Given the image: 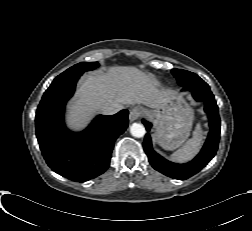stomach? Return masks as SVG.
<instances>
[{"label":"stomach","mask_w":252,"mask_h":231,"mask_svg":"<svg viewBox=\"0 0 252 231\" xmlns=\"http://www.w3.org/2000/svg\"><path fill=\"white\" fill-rule=\"evenodd\" d=\"M144 112L155 122V140L164 149L174 150L189 137L193 123V110L183 98H171L162 107Z\"/></svg>","instance_id":"stomach-1"}]
</instances>
